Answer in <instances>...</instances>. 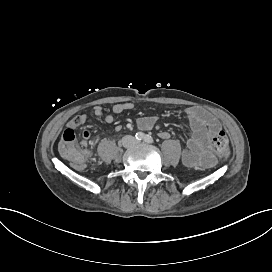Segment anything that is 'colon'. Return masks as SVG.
<instances>
[{
    "label": "colon",
    "instance_id": "obj_1",
    "mask_svg": "<svg viewBox=\"0 0 272 272\" xmlns=\"http://www.w3.org/2000/svg\"><path fill=\"white\" fill-rule=\"evenodd\" d=\"M213 157L225 159L229 154V142L224 131L212 139ZM59 154L63 161L73 164L77 170L83 169L84 157L82 150L78 147V132L73 127H66L61 132V144Z\"/></svg>",
    "mask_w": 272,
    "mask_h": 272
}]
</instances>
